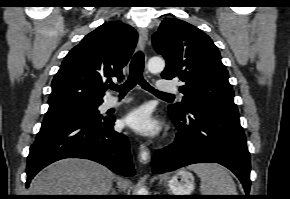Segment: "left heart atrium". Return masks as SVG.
<instances>
[{"label":"left heart atrium","mask_w":290,"mask_h":199,"mask_svg":"<svg viewBox=\"0 0 290 199\" xmlns=\"http://www.w3.org/2000/svg\"><path fill=\"white\" fill-rule=\"evenodd\" d=\"M123 123L144 136H155L160 131V122L152 115L148 106H141L129 112Z\"/></svg>","instance_id":"left-heart-atrium-1"}]
</instances>
